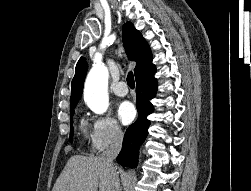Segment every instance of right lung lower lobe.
I'll return each mask as SVG.
<instances>
[{
    "instance_id": "obj_1",
    "label": "right lung lower lobe",
    "mask_w": 251,
    "mask_h": 191,
    "mask_svg": "<svg viewBox=\"0 0 251 191\" xmlns=\"http://www.w3.org/2000/svg\"><path fill=\"white\" fill-rule=\"evenodd\" d=\"M156 91L157 81L154 77L137 82L138 119L126 130L122 149L117 157V162L122 166L135 167L137 164L138 149L147 137L150 125L146 117L154 110L149 100L155 97Z\"/></svg>"
}]
</instances>
